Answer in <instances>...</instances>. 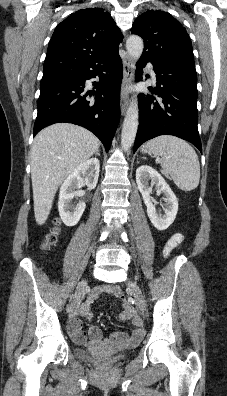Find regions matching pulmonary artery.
Here are the masks:
<instances>
[{
  "instance_id": "obj_1",
  "label": "pulmonary artery",
  "mask_w": 227,
  "mask_h": 396,
  "mask_svg": "<svg viewBox=\"0 0 227 396\" xmlns=\"http://www.w3.org/2000/svg\"><path fill=\"white\" fill-rule=\"evenodd\" d=\"M147 67H148V69L150 70L151 74L155 76V72H154V70H153V65L150 64V63H148V64H147Z\"/></svg>"
}]
</instances>
